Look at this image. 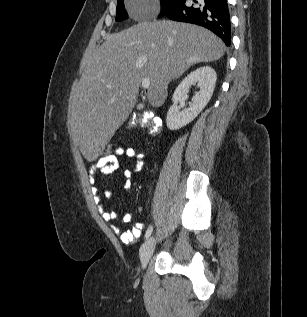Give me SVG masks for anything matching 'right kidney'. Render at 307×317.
Masks as SVG:
<instances>
[{"label": "right kidney", "mask_w": 307, "mask_h": 317, "mask_svg": "<svg viewBox=\"0 0 307 317\" xmlns=\"http://www.w3.org/2000/svg\"><path fill=\"white\" fill-rule=\"evenodd\" d=\"M217 75L210 66L200 67L187 75L176 88L166 117V125L170 130L180 129L191 121L205 108L214 91ZM197 84L200 90L192 98L189 108L180 111L178 102L188 93L192 85Z\"/></svg>", "instance_id": "1"}]
</instances>
